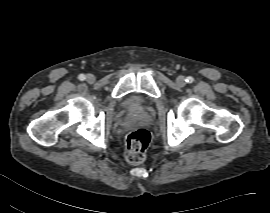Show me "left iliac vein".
Masks as SVG:
<instances>
[{"label": "left iliac vein", "instance_id": "left-iliac-vein-1", "mask_svg": "<svg viewBox=\"0 0 270 213\" xmlns=\"http://www.w3.org/2000/svg\"><path fill=\"white\" fill-rule=\"evenodd\" d=\"M176 82L179 86H183L185 84V78L183 76H178Z\"/></svg>", "mask_w": 270, "mask_h": 213}]
</instances>
